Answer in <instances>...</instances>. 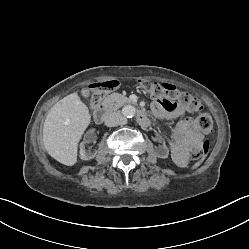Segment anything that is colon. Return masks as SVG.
<instances>
[{
    "mask_svg": "<svg viewBox=\"0 0 249 249\" xmlns=\"http://www.w3.org/2000/svg\"><path fill=\"white\" fill-rule=\"evenodd\" d=\"M138 85L140 88L149 94L155 100H160L166 105L174 102L179 103L191 111L197 112L195 122L198 128L203 133L211 132L213 128L212 117L202 110V106L194 96L178 90L174 85L168 83H158L146 79H139ZM118 86V81L109 80L98 82L91 86L92 99L91 103L96 106L103 99L104 95ZM211 142L206 139L200 146H192L188 150L190 160L194 162L202 161L210 150Z\"/></svg>",
    "mask_w": 249,
    "mask_h": 249,
    "instance_id": "colon-1",
    "label": "colon"
}]
</instances>
